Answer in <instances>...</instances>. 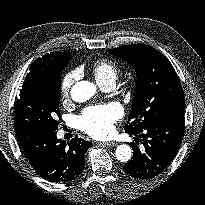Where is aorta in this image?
I'll return each mask as SVG.
<instances>
[{"instance_id":"aorta-1","label":"aorta","mask_w":205,"mask_h":205,"mask_svg":"<svg viewBox=\"0 0 205 205\" xmlns=\"http://www.w3.org/2000/svg\"><path fill=\"white\" fill-rule=\"evenodd\" d=\"M96 87L89 81H80L71 88V97L75 102H86L94 96ZM117 160L120 162H128L132 157V149L127 144L119 145L115 151Z\"/></svg>"}]
</instances>
